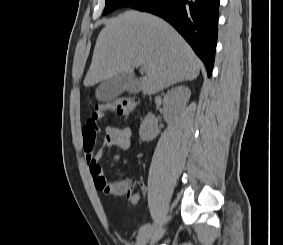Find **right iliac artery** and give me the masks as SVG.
<instances>
[{
  "label": "right iliac artery",
  "mask_w": 283,
  "mask_h": 245,
  "mask_svg": "<svg viewBox=\"0 0 283 245\" xmlns=\"http://www.w3.org/2000/svg\"><path fill=\"white\" fill-rule=\"evenodd\" d=\"M150 228V224H145L143 226L140 227L139 232H138V236H140L141 234H143L146 230H148Z\"/></svg>",
  "instance_id": "82829eb1"
}]
</instances>
